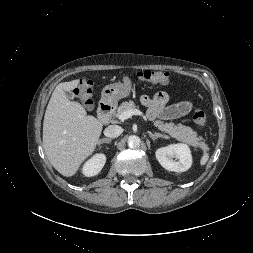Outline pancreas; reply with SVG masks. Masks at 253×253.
Masks as SVG:
<instances>
[{"instance_id":"cf45deb5","label":"pancreas","mask_w":253,"mask_h":253,"mask_svg":"<svg viewBox=\"0 0 253 253\" xmlns=\"http://www.w3.org/2000/svg\"><path fill=\"white\" fill-rule=\"evenodd\" d=\"M135 108L136 106L133 101L123 102L118 107L115 116L118 117L121 113ZM153 123L159 130L168 133L171 137L175 138L178 141L187 143L193 147H199L202 144L201 138L197 137V133L188 126L182 124L175 125L172 122L164 123L161 120H155Z\"/></svg>"}]
</instances>
